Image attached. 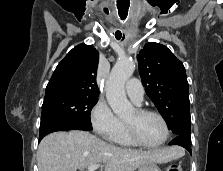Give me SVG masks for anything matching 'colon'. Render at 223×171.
<instances>
[{
    "label": "colon",
    "mask_w": 223,
    "mask_h": 171,
    "mask_svg": "<svg viewBox=\"0 0 223 171\" xmlns=\"http://www.w3.org/2000/svg\"><path fill=\"white\" fill-rule=\"evenodd\" d=\"M166 171H182L181 168L177 165H170L166 168Z\"/></svg>",
    "instance_id": "1"
}]
</instances>
